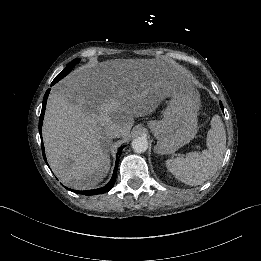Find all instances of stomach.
<instances>
[{
    "label": "stomach",
    "instance_id": "obj_1",
    "mask_svg": "<svg viewBox=\"0 0 261 261\" xmlns=\"http://www.w3.org/2000/svg\"><path fill=\"white\" fill-rule=\"evenodd\" d=\"M200 95L193 85L175 91L162 120H151L148 127L157 139L158 154H173L197 133Z\"/></svg>",
    "mask_w": 261,
    "mask_h": 261
}]
</instances>
